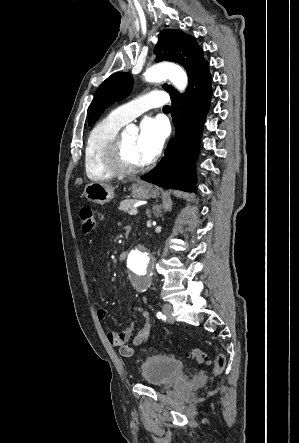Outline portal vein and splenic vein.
Segmentation results:
<instances>
[{
  "label": "portal vein and splenic vein",
  "mask_w": 299,
  "mask_h": 443,
  "mask_svg": "<svg viewBox=\"0 0 299 443\" xmlns=\"http://www.w3.org/2000/svg\"><path fill=\"white\" fill-rule=\"evenodd\" d=\"M128 214L131 215V216H135V215L138 214V211H137L136 208H134V209L130 210V211L128 212Z\"/></svg>",
  "instance_id": "obj_1"
}]
</instances>
